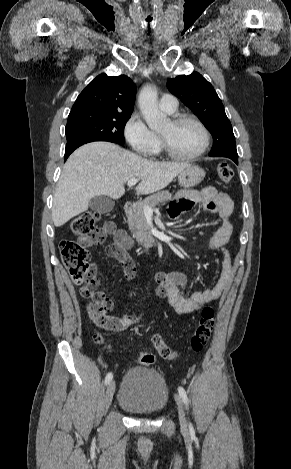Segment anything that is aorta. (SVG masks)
<instances>
[{
    "label": "aorta",
    "mask_w": 291,
    "mask_h": 469,
    "mask_svg": "<svg viewBox=\"0 0 291 469\" xmlns=\"http://www.w3.org/2000/svg\"><path fill=\"white\" fill-rule=\"evenodd\" d=\"M138 105L151 130H161L168 124L169 119L158 109L157 90L153 86L145 85L142 87L138 97Z\"/></svg>",
    "instance_id": "aorta-1"
}]
</instances>
